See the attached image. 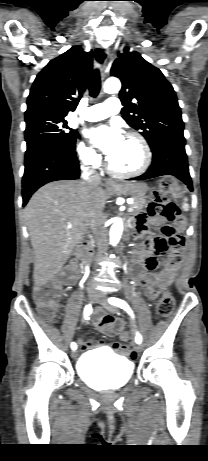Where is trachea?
Listing matches in <instances>:
<instances>
[{
  "instance_id": "1",
  "label": "trachea",
  "mask_w": 208,
  "mask_h": 461,
  "mask_svg": "<svg viewBox=\"0 0 208 461\" xmlns=\"http://www.w3.org/2000/svg\"><path fill=\"white\" fill-rule=\"evenodd\" d=\"M99 54H100V52L98 50L97 54H96L97 57H98ZM100 87H101L100 72H99V69H96L93 72L91 80H90V86H89L90 96L93 97V98L97 97V95L99 94V91H100Z\"/></svg>"
}]
</instances>
